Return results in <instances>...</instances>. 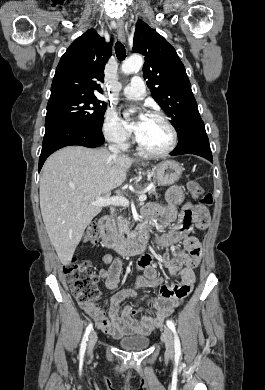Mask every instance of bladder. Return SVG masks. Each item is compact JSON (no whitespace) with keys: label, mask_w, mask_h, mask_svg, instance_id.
<instances>
[{"label":"bladder","mask_w":265,"mask_h":390,"mask_svg":"<svg viewBox=\"0 0 265 390\" xmlns=\"http://www.w3.org/2000/svg\"><path fill=\"white\" fill-rule=\"evenodd\" d=\"M150 339L145 336H126L121 337L117 344L126 351H141L149 346Z\"/></svg>","instance_id":"1"}]
</instances>
